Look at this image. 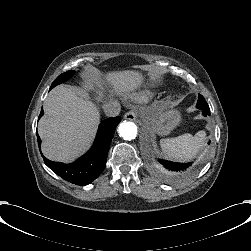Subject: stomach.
Returning <instances> with one entry per match:
<instances>
[{
    "mask_svg": "<svg viewBox=\"0 0 251 251\" xmlns=\"http://www.w3.org/2000/svg\"><path fill=\"white\" fill-rule=\"evenodd\" d=\"M142 121L150 126L152 131L158 135H168L181 122V113L172 104L166 101L158 103L155 112L151 117L143 115ZM148 122V123H147Z\"/></svg>",
    "mask_w": 251,
    "mask_h": 251,
    "instance_id": "0dacf381",
    "label": "stomach"
}]
</instances>
